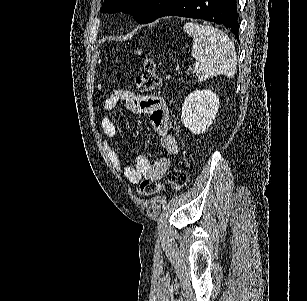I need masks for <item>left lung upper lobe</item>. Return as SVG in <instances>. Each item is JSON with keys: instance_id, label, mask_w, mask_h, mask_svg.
Masks as SVG:
<instances>
[{"instance_id": "5c2ea615", "label": "left lung upper lobe", "mask_w": 307, "mask_h": 301, "mask_svg": "<svg viewBox=\"0 0 307 301\" xmlns=\"http://www.w3.org/2000/svg\"><path fill=\"white\" fill-rule=\"evenodd\" d=\"M175 0H104L103 13L123 12L136 17L138 23H150Z\"/></svg>"}]
</instances>
